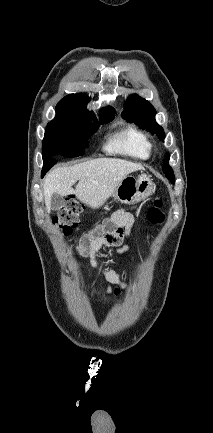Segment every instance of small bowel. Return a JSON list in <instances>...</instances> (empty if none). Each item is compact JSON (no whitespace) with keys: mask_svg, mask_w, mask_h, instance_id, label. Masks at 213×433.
I'll return each instance as SVG.
<instances>
[{"mask_svg":"<svg viewBox=\"0 0 213 433\" xmlns=\"http://www.w3.org/2000/svg\"><path fill=\"white\" fill-rule=\"evenodd\" d=\"M134 221L130 209L121 208L108 220L74 238L77 252L89 260L90 265L99 271L101 279L109 285L120 284L119 277L113 271L101 269L96 254L103 246H116L118 254L129 251L130 246L124 241L128 238Z\"/></svg>","mask_w":213,"mask_h":433,"instance_id":"1","label":"small bowel"}]
</instances>
